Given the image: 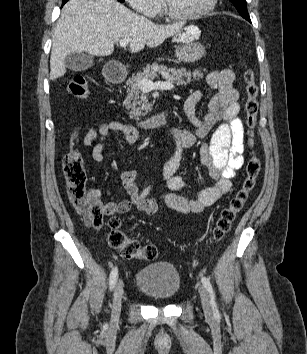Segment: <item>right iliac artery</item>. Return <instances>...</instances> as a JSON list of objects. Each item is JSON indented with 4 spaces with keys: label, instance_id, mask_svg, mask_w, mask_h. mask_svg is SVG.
I'll return each instance as SVG.
<instances>
[{
    "label": "right iliac artery",
    "instance_id": "obj_1",
    "mask_svg": "<svg viewBox=\"0 0 307 354\" xmlns=\"http://www.w3.org/2000/svg\"><path fill=\"white\" fill-rule=\"evenodd\" d=\"M150 187L146 188L142 194L141 197H145L148 193H149ZM118 278V269L117 267H114L110 273L109 276V286H110V290H112L116 284Z\"/></svg>",
    "mask_w": 307,
    "mask_h": 354
}]
</instances>
